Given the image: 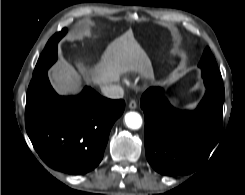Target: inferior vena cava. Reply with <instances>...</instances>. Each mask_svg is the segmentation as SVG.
Wrapping results in <instances>:
<instances>
[{
	"instance_id": "1",
	"label": "inferior vena cava",
	"mask_w": 245,
	"mask_h": 195,
	"mask_svg": "<svg viewBox=\"0 0 245 195\" xmlns=\"http://www.w3.org/2000/svg\"><path fill=\"white\" fill-rule=\"evenodd\" d=\"M101 90L104 96L110 99H120L124 96V90L119 85H103Z\"/></svg>"
}]
</instances>
